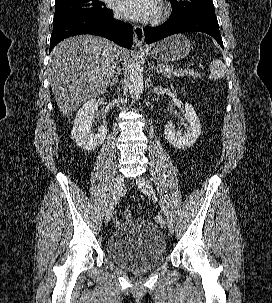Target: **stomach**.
<instances>
[{
	"label": "stomach",
	"instance_id": "1",
	"mask_svg": "<svg viewBox=\"0 0 272 303\" xmlns=\"http://www.w3.org/2000/svg\"><path fill=\"white\" fill-rule=\"evenodd\" d=\"M191 50L189 40L182 34L173 35L161 41L150 50L153 58L162 62L183 59Z\"/></svg>",
	"mask_w": 272,
	"mask_h": 303
}]
</instances>
